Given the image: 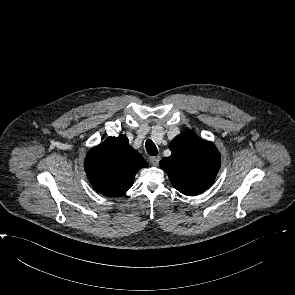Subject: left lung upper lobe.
<instances>
[{
    "label": "left lung upper lobe",
    "instance_id": "5c2ea615",
    "mask_svg": "<svg viewBox=\"0 0 295 295\" xmlns=\"http://www.w3.org/2000/svg\"><path fill=\"white\" fill-rule=\"evenodd\" d=\"M171 156L159 165L168 174L172 185L189 196L206 191L214 182L220 168V153L211 142L185 130L169 144Z\"/></svg>",
    "mask_w": 295,
    "mask_h": 295
}]
</instances>
